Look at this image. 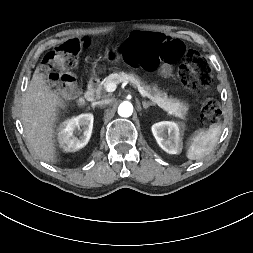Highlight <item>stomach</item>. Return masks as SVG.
Returning <instances> with one entry per match:
<instances>
[{
	"label": "stomach",
	"instance_id": "1",
	"mask_svg": "<svg viewBox=\"0 0 253 253\" xmlns=\"http://www.w3.org/2000/svg\"><path fill=\"white\" fill-rule=\"evenodd\" d=\"M115 51L114 50H109L107 49L106 50V54H105V57L106 59H108L110 62L112 63H117L119 61V55L116 53H114ZM171 68L168 67V66H164L162 69H161V75L164 76V77H168L171 75Z\"/></svg>",
	"mask_w": 253,
	"mask_h": 253
}]
</instances>
